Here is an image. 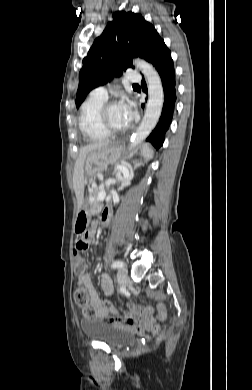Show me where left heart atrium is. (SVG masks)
<instances>
[{
	"label": "left heart atrium",
	"mask_w": 252,
	"mask_h": 390,
	"mask_svg": "<svg viewBox=\"0 0 252 390\" xmlns=\"http://www.w3.org/2000/svg\"><path fill=\"white\" fill-rule=\"evenodd\" d=\"M118 105L121 109V112L125 120L129 124L135 117V109L133 104L127 99H122Z\"/></svg>",
	"instance_id": "left-heart-atrium-1"
}]
</instances>
